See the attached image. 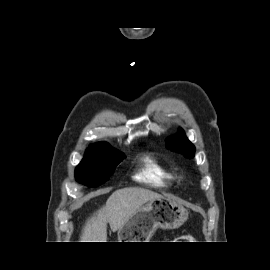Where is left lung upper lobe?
<instances>
[{
	"label": "left lung upper lobe",
	"mask_w": 270,
	"mask_h": 270,
	"mask_svg": "<svg viewBox=\"0 0 270 270\" xmlns=\"http://www.w3.org/2000/svg\"><path fill=\"white\" fill-rule=\"evenodd\" d=\"M166 147L172 151L183 154L188 158L193 157L195 152L194 145L187 139L182 130H179L178 135L172 136L168 140Z\"/></svg>",
	"instance_id": "obj_1"
}]
</instances>
